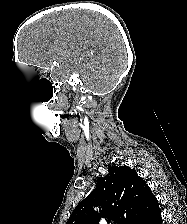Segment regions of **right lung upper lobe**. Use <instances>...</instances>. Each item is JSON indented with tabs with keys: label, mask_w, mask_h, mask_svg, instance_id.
<instances>
[{
	"label": "right lung upper lobe",
	"mask_w": 187,
	"mask_h": 224,
	"mask_svg": "<svg viewBox=\"0 0 187 224\" xmlns=\"http://www.w3.org/2000/svg\"><path fill=\"white\" fill-rule=\"evenodd\" d=\"M92 206H100V214ZM159 210L149 186L128 166H112L73 210L66 224H98L100 217L118 224H136Z\"/></svg>",
	"instance_id": "cb5924a9"
}]
</instances>
